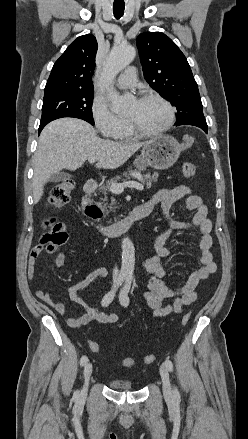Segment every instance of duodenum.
I'll return each instance as SVG.
<instances>
[{
    "label": "duodenum",
    "mask_w": 248,
    "mask_h": 439,
    "mask_svg": "<svg viewBox=\"0 0 248 439\" xmlns=\"http://www.w3.org/2000/svg\"><path fill=\"white\" fill-rule=\"evenodd\" d=\"M97 183L89 179L84 184V196L81 200V207L86 215L89 223H91L97 231L105 236H117L128 230L135 222L147 217L150 214V210L140 205L134 207L128 215L122 218L120 221L110 224H97L96 221L100 217L101 210L98 205L90 201V197L97 191Z\"/></svg>",
    "instance_id": "obj_1"
}]
</instances>
